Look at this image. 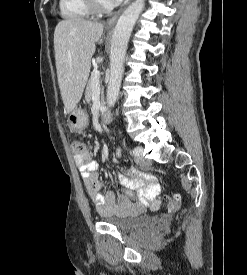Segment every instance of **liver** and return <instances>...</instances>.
<instances>
[{
	"label": "liver",
	"instance_id": "1",
	"mask_svg": "<svg viewBox=\"0 0 247 275\" xmlns=\"http://www.w3.org/2000/svg\"><path fill=\"white\" fill-rule=\"evenodd\" d=\"M104 25L81 18L60 21L54 31L58 84L65 110L70 114L82 98L87 83L95 43Z\"/></svg>",
	"mask_w": 247,
	"mask_h": 275
}]
</instances>
